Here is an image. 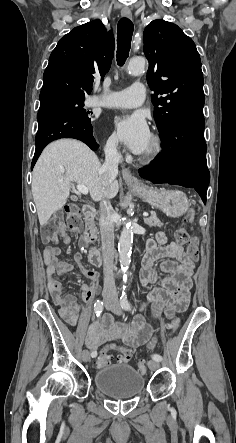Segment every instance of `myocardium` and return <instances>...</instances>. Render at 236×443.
Wrapping results in <instances>:
<instances>
[{
  "label": "myocardium",
  "mask_w": 236,
  "mask_h": 443,
  "mask_svg": "<svg viewBox=\"0 0 236 443\" xmlns=\"http://www.w3.org/2000/svg\"><path fill=\"white\" fill-rule=\"evenodd\" d=\"M163 151V143L159 135L151 134V146L148 150L144 151L140 159L143 162L149 163L156 160Z\"/></svg>",
  "instance_id": "1"
}]
</instances>
